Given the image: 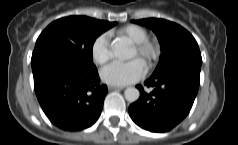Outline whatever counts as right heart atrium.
I'll use <instances>...</instances> for the list:
<instances>
[{
  "label": "right heart atrium",
  "instance_id": "right-heart-atrium-1",
  "mask_svg": "<svg viewBox=\"0 0 238 145\" xmlns=\"http://www.w3.org/2000/svg\"><path fill=\"white\" fill-rule=\"evenodd\" d=\"M91 57L98 65L106 64L111 58V50L108 36L106 34L99 35L91 44Z\"/></svg>",
  "mask_w": 238,
  "mask_h": 145
}]
</instances>
